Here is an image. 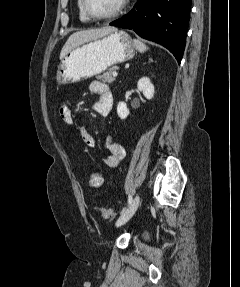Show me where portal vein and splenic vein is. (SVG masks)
<instances>
[{"label":"portal vein and splenic vein","instance_id":"1","mask_svg":"<svg viewBox=\"0 0 240 287\" xmlns=\"http://www.w3.org/2000/svg\"><path fill=\"white\" fill-rule=\"evenodd\" d=\"M116 75H117V72H114V73H113V76H116Z\"/></svg>","mask_w":240,"mask_h":287}]
</instances>
